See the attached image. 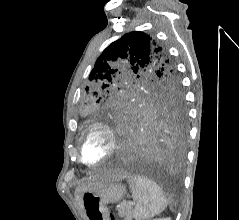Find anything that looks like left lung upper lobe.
<instances>
[{"mask_svg":"<svg viewBox=\"0 0 239 220\" xmlns=\"http://www.w3.org/2000/svg\"><path fill=\"white\" fill-rule=\"evenodd\" d=\"M80 103V114L154 110L184 112L178 70L166 48L140 31L123 35L98 57Z\"/></svg>","mask_w":239,"mask_h":220,"instance_id":"left-lung-upper-lobe-1","label":"left lung upper lobe"}]
</instances>
